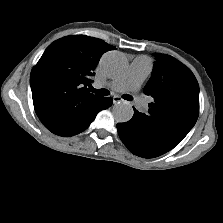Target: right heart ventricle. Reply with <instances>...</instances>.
<instances>
[{"label": "right heart ventricle", "instance_id": "right-heart-ventricle-1", "mask_svg": "<svg viewBox=\"0 0 223 223\" xmlns=\"http://www.w3.org/2000/svg\"><path fill=\"white\" fill-rule=\"evenodd\" d=\"M138 59H141V60H144L145 61V59L143 57H139Z\"/></svg>", "mask_w": 223, "mask_h": 223}]
</instances>
